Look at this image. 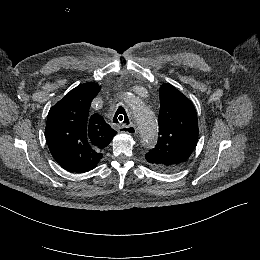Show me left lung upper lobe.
Returning a JSON list of instances; mask_svg holds the SVG:
<instances>
[{"mask_svg": "<svg viewBox=\"0 0 260 260\" xmlns=\"http://www.w3.org/2000/svg\"><path fill=\"white\" fill-rule=\"evenodd\" d=\"M159 137L145 159L148 166L165 172L182 168L198 139V120L191 101L169 84L160 87Z\"/></svg>", "mask_w": 260, "mask_h": 260, "instance_id": "1", "label": "left lung upper lobe"}]
</instances>
